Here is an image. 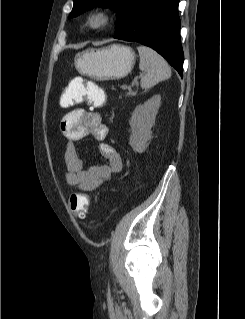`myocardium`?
I'll return each instance as SVG.
<instances>
[{
  "mask_svg": "<svg viewBox=\"0 0 245 319\" xmlns=\"http://www.w3.org/2000/svg\"><path fill=\"white\" fill-rule=\"evenodd\" d=\"M112 20L111 13L104 9H94L87 15L86 25L89 29L97 31L107 27Z\"/></svg>",
  "mask_w": 245,
  "mask_h": 319,
  "instance_id": "1",
  "label": "myocardium"
}]
</instances>
